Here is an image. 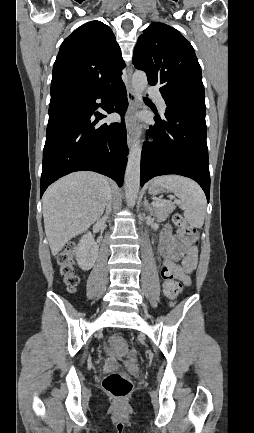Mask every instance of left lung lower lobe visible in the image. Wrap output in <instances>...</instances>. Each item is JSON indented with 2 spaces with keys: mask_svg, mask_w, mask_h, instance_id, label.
Returning <instances> with one entry per match:
<instances>
[{
  "mask_svg": "<svg viewBox=\"0 0 254 433\" xmlns=\"http://www.w3.org/2000/svg\"><path fill=\"white\" fill-rule=\"evenodd\" d=\"M141 155V186L155 176L178 174L195 180L209 202L210 174L205 111L187 105L166 107L164 119L155 117Z\"/></svg>",
  "mask_w": 254,
  "mask_h": 433,
  "instance_id": "0a47b994",
  "label": "left lung lower lobe"
}]
</instances>
